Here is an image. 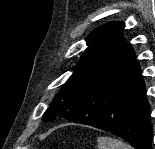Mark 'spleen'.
<instances>
[{
  "instance_id": "3e777b00",
  "label": "spleen",
  "mask_w": 155,
  "mask_h": 149,
  "mask_svg": "<svg viewBox=\"0 0 155 149\" xmlns=\"http://www.w3.org/2000/svg\"><path fill=\"white\" fill-rule=\"evenodd\" d=\"M97 149H134L132 146L107 136L97 138Z\"/></svg>"
}]
</instances>
